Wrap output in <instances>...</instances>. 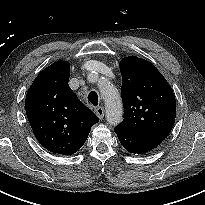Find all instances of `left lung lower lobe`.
<instances>
[{
  "mask_svg": "<svg viewBox=\"0 0 205 205\" xmlns=\"http://www.w3.org/2000/svg\"><path fill=\"white\" fill-rule=\"evenodd\" d=\"M115 133L121 144L130 153L143 154L158 146V144L138 138L117 127L115 128Z\"/></svg>",
  "mask_w": 205,
  "mask_h": 205,
  "instance_id": "obj_1",
  "label": "left lung lower lobe"
}]
</instances>
